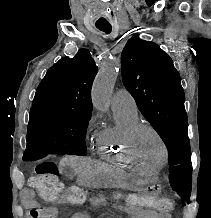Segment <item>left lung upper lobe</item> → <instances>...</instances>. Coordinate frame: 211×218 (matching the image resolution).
Returning <instances> with one entry per match:
<instances>
[{"label": "left lung upper lobe", "mask_w": 211, "mask_h": 218, "mask_svg": "<svg viewBox=\"0 0 211 218\" xmlns=\"http://www.w3.org/2000/svg\"><path fill=\"white\" fill-rule=\"evenodd\" d=\"M121 64L126 89L166 144L171 187L189 201L192 163L180 75L168 54L137 35L125 45Z\"/></svg>", "instance_id": "1"}]
</instances>
